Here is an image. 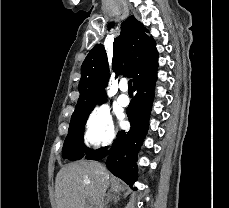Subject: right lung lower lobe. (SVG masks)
Here are the masks:
<instances>
[{
    "label": "right lung lower lobe",
    "mask_w": 229,
    "mask_h": 208,
    "mask_svg": "<svg viewBox=\"0 0 229 208\" xmlns=\"http://www.w3.org/2000/svg\"><path fill=\"white\" fill-rule=\"evenodd\" d=\"M156 69L134 84L137 92L126 110L131 123L130 130L118 133L110 151H107V147H102L95 151L90 150L85 156L89 160H100L109 154L106 161L108 169L130 186L137 180V154L149 126Z\"/></svg>",
    "instance_id": "obj_1"
}]
</instances>
